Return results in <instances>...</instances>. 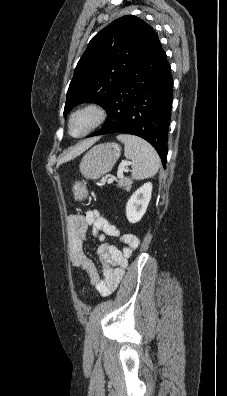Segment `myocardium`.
I'll return each instance as SVG.
<instances>
[{
    "mask_svg": "<svg viewBox=\"0 0 227 396\" xmlns=\"http://www.w3.org/2000/svg\"><path fill=\"white\" fill-rule=\"evenodd\" d=\"M81 115L90 118L88 127L79 135L72 134L71 127L73 120ZM108 113L106 108L98 102H87L75 108L69 115L67 120V130L71 137L82 138L90 134L92 131L101 126L107 119Z\"/></svg>",
    "mask_w": 227,
    "mask_h": 396,
    "instance_id": "f54148a6",
    "label": "myocardium"
}]
</instances>
